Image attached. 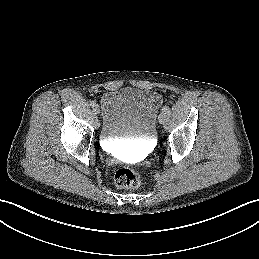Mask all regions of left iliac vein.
I'll return each mask as SVG.
<instances>
[{"instance_id": "obj_1", "label": "left iliac vein", "mask_w": 259, "mask_h": 259, "mask_svg": "<svg viewBox=\"0 0 259 259\" xmlns=\"http://www.w3.org/2000/svg\"><path fill=\"white\" fill-rule=\"evenodd\" d=\"M165 118H166V113L161 112L160 115H159V118H158L159 123H163Z\"/></svg>"}]
</instances>
